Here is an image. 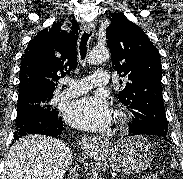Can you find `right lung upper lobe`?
Masks as SVG:
<instances>
[{
	"label": "right lung upper lobe",
	"mask_w": 183,
	"mask_h": 179,
	"mask_svg": "<svg viewBox=\"0 0 183 179\" xmlns=\"http://www.w3.org/2000/svg\"><path fill=\"white\" fill-rule=\"evenodd\" d=\"M70 33L61 24L40 31L29 43L22 55L18 98L53 94L60 77L77 66V31L74 21Z\"/></svg>",
	"instance_id": "cb5924a9"
}]
</instances>
